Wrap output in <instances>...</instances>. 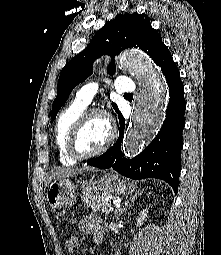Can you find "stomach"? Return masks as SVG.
<instances>
[{
	"mask_svg": "<svg viewBox=\"0 0 221 255\" xmlns=\"http://www.w3.org/2000/svg\"><path fill=\"white\" fill-rule=\"evenodd\" d=\"M77 187L78 185L68 178H57L50 183L46 191V200L53 210L70 207L75 203ZM80 189L84 198H87L93 196L97 191L129 195L133 192L134 187L118 175L108 173L97 180L81 181Z\"/></svg>",
	"mask_w": 221,
	"mask_h": 255,
	"instance_id": "1",
	"label": "stomach"
}]
</instances>
